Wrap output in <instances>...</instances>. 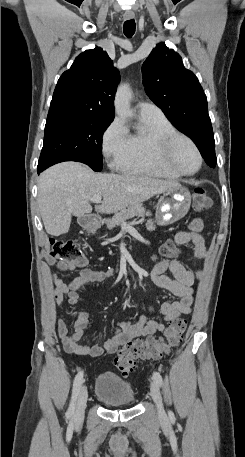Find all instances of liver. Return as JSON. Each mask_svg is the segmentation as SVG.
Wrapping results in <instances>:
<instances>
[{
  "label": "liver",
  "mask_w": 245,
  "mask_h": 457,
  "mask_svg": "<svg viewBox=\"0 0 245 457\" xmlns=\"http://www.w3.org/2000/svg\"><path fill=\"white\" fill-rule=\"evenodd\" d=\"M172 186H180V182L145 174L93 172L81 162H59L41 172L37 202L46 233L60 237L69 231L71 214L84 216L91 212L88 198L96 194H101L103 200L95 204V210L111 214Z\"/></svg>",
  "instance_id": "liver-1"
}]
</instances>
